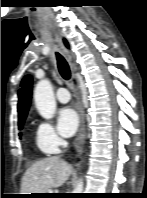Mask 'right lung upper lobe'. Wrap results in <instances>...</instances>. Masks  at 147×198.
I'll use <instances>...</instances> for the list:
<instances>
[{
  "label": "right lung upper lobe",
  "mask_w": 147,
  "mask_h": 198,
  "mask_svg": "<svg viewBox=\"0 0 147 198\" xmlns=\"http://www.w3.org/2000/svg\"><path fill=\"white\" fill-rule=\"evenodd\" d=\"M65 45L68 47L67 41L64 39ZM32 95V78L27 75L21 82V89L18 91V121L23 120L27 116Z\"/></svg>",
  "instance_id": "1"
}]
</instances>
